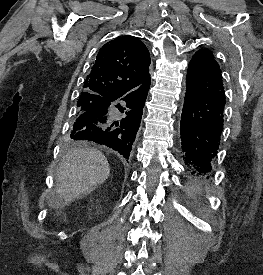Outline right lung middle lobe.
Wrapping results in <instances>:
<instances>
[{
	"label": "right lung middle lobe",
	"instance_id": "dd1d6c3e",
	"mask_svg": "<svg viewBox=\"0 0 263 275\" xmlns=\"http://www.w3.org/2000/svg\"><path fill=\"white\" fill-rule=\"evenodd\" d=\"M78 106V114L83 112L102 109L106 106V100L101 97L93 94L80 95L79 100L77 102ZM69 147H78L79 144L70 141L68 142Z\"/></svg>",
	"mask_w": 263,
	"mask_h": 275
}]
</instances>
